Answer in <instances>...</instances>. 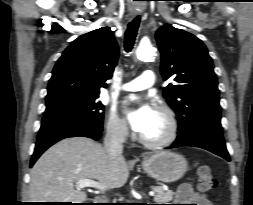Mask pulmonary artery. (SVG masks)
Here are the masks:
<instances>
[{
	"label": "pulmonary artery",
	"instance_id": "1",
	"mask_svg": "<svg viewBox=\"0 0 253 205\" xmlns=\"http://www.w3.org/2000/svg\"><path fill=\"white\" fill-rule=\"evenodd\" d=\"M155 83V74L152 70H145L136 79L123 84L120 89L123 91H140L151 87Z\"/></svg>",
	"mask_w": 253,
	"mask_h": 205
}]
</instances>
